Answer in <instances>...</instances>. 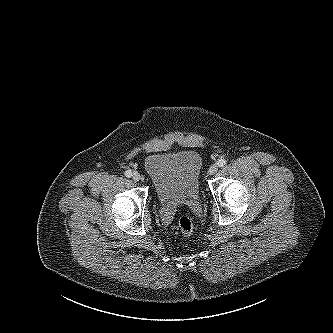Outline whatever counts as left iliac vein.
<instances>
[{"label": "left iliac vein", "mask_w": 333, "mask_h": 333, "mask_svg": "<svg viewBox=\"0 0 333 333\" xmlns=\"http://www.w3.org/2000/svg\"><path fill=\"white\" fill-rule=\"evenodd\" d=\"M217 171H218V165L213 164V165L210 167V169H209V174H210V175H213V174H215Z\"/></svg>", "instance_id": "obj_1"}]
</instances>
